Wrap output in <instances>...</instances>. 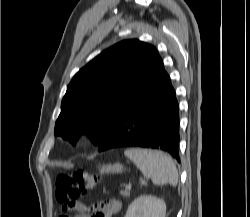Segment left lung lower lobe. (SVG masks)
Wrapping results in <instances>:
<instances>
[{
    "instance_id": "0a47b994",
    "label": "left lung lower lobe",
    "mask_w": 250,
    "mask_h": 217,
    "mask_svg": "<svg viewBox=\"0 0 250 217\" xmlns=\"http://www.w3.org/2000/svg\"><path fill=\"white\" fill-rule=\"evenodd\" d=\"M179 109L159 56L118 115L99 151L119 147L161 149L179 159Z\"/></svg>"
}]
</instances>
